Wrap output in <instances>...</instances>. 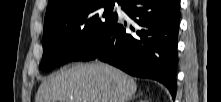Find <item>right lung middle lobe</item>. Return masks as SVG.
<instances>
[{
  "instance_id": "1",
  "label": "right lung middle lobe",
  "mask_w": 221,
  "mask_h": 102,
  "mask_svg": "<svg viewBox=\"0 0 221 102\" xmlns=\"http://www.w3.org/2000/svg\"><path fill=\"white\" fill-rule=\"evenodd\" d=\"M114 4L115 0L75 1L46 20L40 69L47 71L74 60L100 38L118 18L112 12Z\"/></svg>"
}]
</instances>
